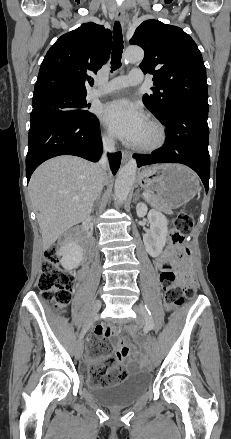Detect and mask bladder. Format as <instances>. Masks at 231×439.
<instances>
[{
  "instance_id": "bladder-1",
  "label": "bladder",
  "mask_w": 231,
  "mask_h": 439,
  "mask_svg": "<svg viewBox=\"0 0 231 439\" xmlns=\"http://www.w3.org/2000/svg\"><path fill=\"white\" fill-rule=\"evenodd\" d=\"M151 383V374L141 371L129 375L117 385H91L89 392L102 405L110 408H120L134 403L148 390Z\"/></svg>"
}]
</instances>
